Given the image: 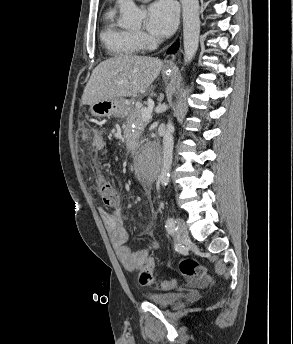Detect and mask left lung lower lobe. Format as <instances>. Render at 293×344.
<instances>
[{
    "instance_id": "left-lung-lower-lobe-1",
    "label": "left lung lower lobe",
    "mask_w": 293,
    "mask_h": 344,
    "mask_svg": "<svg viewBox=\"0 0 293 344\" xmlns=\"http://www.w3.org/2000/svg\"><path fill=\"white\" fill-rule=\"evenodd\" d=\"M178 46H179V43H178V42L174 43V44L169 48L168 53H174V52H176V50L178 49Z\"/></svg>"
}]
</instances>
